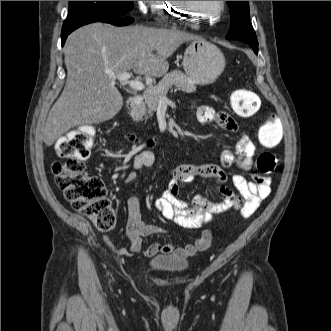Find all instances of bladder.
I'll return each mask as SVG.
<instances>
[{"label":"bladder","mask_w":331,"mask_h":331,"mask_svg":"<svg viewBox=\"0 0 331 331\" xmlns=\"http://www.w3.org/2000/svg\"><path fill=\"white\" fill-rule=\"evenodd\" d=\"M148 264L154 271L162 273H179L188 267L187 260L166 254L153 256Z\"/></svg>","instance_id":"31cf9c89"}]
</instances>
